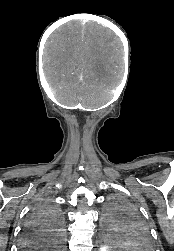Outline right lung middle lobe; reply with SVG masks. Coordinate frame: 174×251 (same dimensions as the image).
Returning <instances> with one entry per match:
<instances>
[{"label": "right lung middle lobe", "instance_id": "dd1d6c3e", "mask_svg": "<svg viewBox=\"0 0 174 251\" xmlns=\"http://www.w3.org/2000/svg\"><path fill=\"white\" fill-rule=\"evenodd\" d=\"M30 225L38 235H44L54 247L62 245L61 229L63 227V214L61 210L50 201L38 202L28 219Z\"/></svg>", "mask_w": 174, "mask_h": 251}]
</instances>
